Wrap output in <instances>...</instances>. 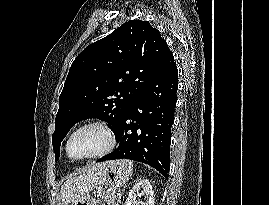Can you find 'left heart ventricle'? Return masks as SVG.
<instances>
[{
    "mask_svg": "<svg viewBox=\"0 0 269 205\" xmlns=\"http://www.w3.org/2000/svg\"><path fill=\"white\" fill-rule=\"evenodd\" d=\"M107 146V137L98 127L80 130L71 141V153L75 157H86L103 150Z\"/></svg>",
    "mask_w": 269,
    "mask_h": 205,
    "instance_id": "b2bd125f",
    "label": "left heart ventricle"
}]
</instances>
